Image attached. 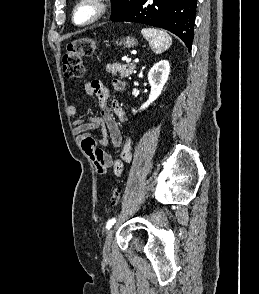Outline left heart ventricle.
Here are the masks:
<instances>
[{
  "instance_id": "left-heart-ventricle-1",
  "label": "left heart ventricle",
  "mask_w": 259,
  "mask_h": 294,
  "mask_svg": "<svg viewBox=\"0 0 259 294\" xmlns=\"http://www.w3.org/2000/svg\"><path fill=\"white\" fill-rule=\"evenodd\" d=\"M95 13V7L93 5H86L80 9L77 15V20L79 22L86 21L91 18Z\"/></svg>"
}]
</instances>
